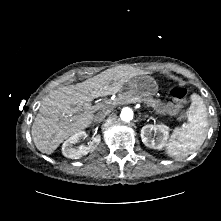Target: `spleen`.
I'll list each match as a JSON object with an SVG mask.
<instances>
[{"instance_id":"1","label":"spleen","mask_w":221,"mask_h":221,"mask_svg":"<svg viewBox=\"0 0 221 221\" xmlns=\"http://www.w3.org/2000/svg\"><path fill=\"white\" fill-rule=\"evenodd\" d=\"M191 105L187 111L188 122L176 127L166 144V153L170 157H186L200 147L207 134V108L203 99L192 94Z\"/></svg>"}]
</instances>
